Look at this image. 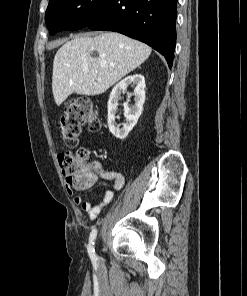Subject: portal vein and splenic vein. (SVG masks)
Wrapping results in <instances>:
<instances>
[{"label":"portal vein and splenic vein","mask_w":247,"mask_h":296,"mask_svg":"<svg viewBox=\"0 0 247 296\" xmlns=\"http://www.w3.org/2000/svg\"><path fill=\"white\" fill-rule=\"evenodd\" d=\"M84 71H85V72H88L89 70H88V68H86V69H84Z\"/></svg>","instance_id":"18ae733b"}]
</instances>
